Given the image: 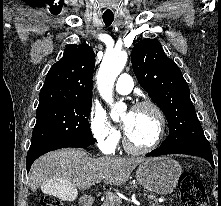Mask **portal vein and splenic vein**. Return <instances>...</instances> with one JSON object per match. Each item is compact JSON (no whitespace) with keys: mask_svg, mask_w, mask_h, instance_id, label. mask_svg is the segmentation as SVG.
Segmentation results:
<instances>
[{"mask_svg":"<svg viewBox=\"0 0 221 206\" xmlns=\"http://www.w3.org/2000/svg\"><path fill=\"white\" fill-rule=\"evenodd\" d=\"M107 196H108V198L114 199V195L111 194V193H108ZM149 199L153 200V199H155V197L154 196H149Z\"/></svg>","mask_w":221,"mask_h":206,"instance_id":"portal-vein-and-splenic-vein-1","label":"portal vein and splenic vein"}]
</instances>
